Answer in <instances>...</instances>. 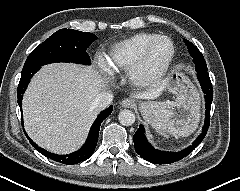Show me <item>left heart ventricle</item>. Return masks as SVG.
Masks as SVG:
<instances>
[{
  "label": "left heart ventricle",
  "instance_id": "obj_1",
  "mask_svg": "<svg viewBox=\"0 0 240 191\" xmlns=\"http://www.w3.org/2000/svg\"><path fill=\"white\" fill-rule=\"evenodd\" d=\"M171 53V45L168 41H160L152 50L147 64L146 72L157 71L167 60Z\"/></svg>",
  "mask_w": 240,
  "mask_h": 191
}]
</instances>
